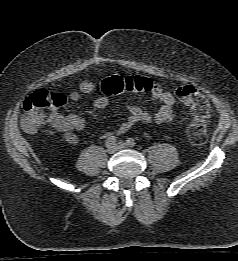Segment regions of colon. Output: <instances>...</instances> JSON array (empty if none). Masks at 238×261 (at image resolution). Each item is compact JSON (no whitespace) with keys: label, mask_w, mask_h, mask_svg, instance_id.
I'll return each mask as SVG.
<instances>
[{"label":"colon","mask_w":238,"mask_h":261,"mask_svg":"<svg viewBox=\"0 0 238 261\" xmlns=\"http://www.w3.org/2000/svg\"><path fill=\"white\" fill-rule=\"evenodd\" d=\"M152 81L143 75L112 76L100 84V92L115 96L124 92H149ZM175 96L189 106L192 120L187 129V138L192 145H201L207 138L206 127L211 117V106L206 95L191 85H180ZM66 103V97L59 93L37 90L23 102L22 126L30 134L35 133L47 120L46 111Z\"/></svg>","instance_id":"obj_1"}]
</instances>
